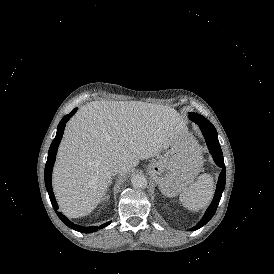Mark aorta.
<instances>
[{
	"instance_id": "1",
	"label": "aorta",
	"mask_w": 274,
	"mask_h": 274,
	"mask_svg": "<svg viewBox=\"0 0 274 274\" xmlns=\"http://www.w3.org/2000/svg\"><path fill=\"white\" fill-rule=\"evenodd\" d=\"M131 183L134 188L142 189V188H146L147 179L145 178V176L137 174L131 178Z\"/></svg>"
}]
</instances>
